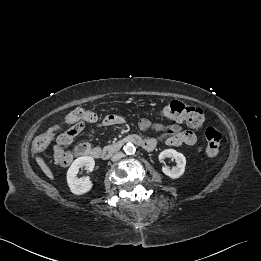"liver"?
<instances>
[{
  "label": "liver",
  "mask_w": 261,
  "mask_h": 261,
  "mask_svg": "<svg viewBox=\"0 0 261 261\" xmlns=\"http://www.w3.org/2000/svg\"><path fill=\"white\" fill-rule=\"evenodd\" d=\"M36 161L38 163V165L41 167L42 171L45 173V175L50 178V179H54L53 173L50 170V168L47 166V164L45 163V161L41 158V157H36Z\"/></svg>",
  "instance_id": "liver-1"
}]
</instances>
